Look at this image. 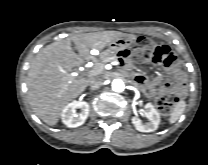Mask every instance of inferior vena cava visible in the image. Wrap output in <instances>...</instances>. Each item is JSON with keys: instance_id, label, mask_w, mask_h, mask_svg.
<instances>
[{"instance_id": "inferior-vena-cava-1", "label": "inferior vena cava", "mask_w": 208, "mask_h": 165, "mask_svg": "<svg viewBox=\"0 0 208 165\" xmlns=\"http://www.w3.org/2000/svg\"><path fill=\"white\" fill-rule=\"evenodd\" d=\"M103 82H104V80L101 77H97V78L92 79L89 82L90 89L94 90V89L99 88L103 84Z\"/></svg>"}]
</instances>
